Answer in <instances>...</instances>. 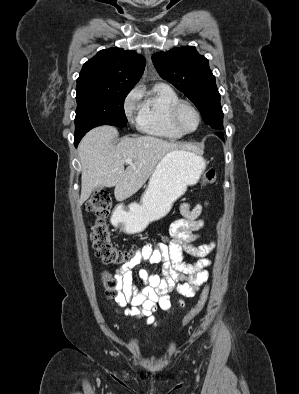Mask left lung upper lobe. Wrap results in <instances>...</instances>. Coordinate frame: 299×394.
I'll return each instance as SVG.
<instances>
[{"mask_svg":"<svg viewBox=\"0 0 299 394\" xmlns=\"http://www.w3.org/2000/svg\"><path fill=\"white\" fill-rule=\"evenodd\" d=\"M153 64L160 76L183 92L199 109L205 124L223 129V112L215 76L209 62L194 46L155 53Z\"/></svg>","mask_w":299,"mask_h":394,"instance_id":"obj_1","label":"left lung upper lobe"}]
</instances>
